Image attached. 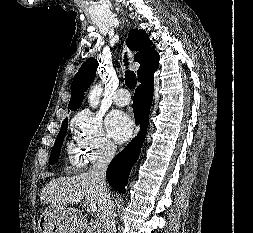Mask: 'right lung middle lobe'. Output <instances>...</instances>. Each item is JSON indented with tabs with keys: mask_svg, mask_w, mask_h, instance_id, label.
Listing matches in <instances>:
<instances>
[{
	"mask_svg": "<svg viewBox=\"0 0 253 233\" xmlns=\"http://www.w3.org/2000/svg\"><path fill=\"white\" fill-rule=\"evenodd\" d=\"M67 125H68V119L64 120L60 132L56 138L55 144L53 146L51 155H50V159H49V164H55L59 158V154H60V150H61V146L64 140V137L66 135V130H67Z\"/></svg>",
	"mask_w": 253,
	"mask_h": 233,
	"instance_id": "right-lung-middle-lobe-1",
	"label": "right lung middle lobe"
}]
</instances>
